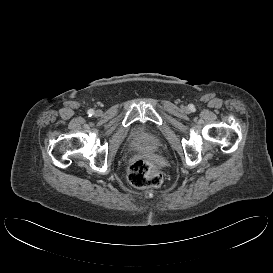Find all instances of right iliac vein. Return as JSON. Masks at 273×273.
Returning <instances> with one entry per match:
<instances>
[{"label": "right iliac vein", "mask_w": 273, "mask_h": 273, "mask_svg": "<svg viewBox=\"0 0 273 273\" xmlns=\"http://www.w3.org/2000/svg\"><path fill=\"white\" fill-rule=\"evenodd\" d=\"M96 113H97L98 115H99V114H101V112H100V111H97Z\"/></svg>", "instance_id": "right-iliac-vein-1"}]
</instances>
